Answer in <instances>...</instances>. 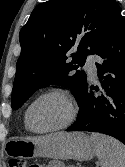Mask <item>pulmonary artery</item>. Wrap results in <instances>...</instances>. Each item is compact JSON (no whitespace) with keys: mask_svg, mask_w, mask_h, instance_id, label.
<instances>
[{"mask_svg":"<svg viewBox=\"0 0 125 167\" xmlns=\"http://www.w3.org/2000/svg\"><path fill=\"white\" fill-rule=\"evenodd\" d=\"M86 69L89 71V74L92 79H95L97 76V71H96V66H95V61L93 58H89L86 61L85 64Z\"/></svg>","mask_w":125,"mask_h":167,"instance_id":"e3ab8cb5","label":"pulmonary artery"}]
</instances>
